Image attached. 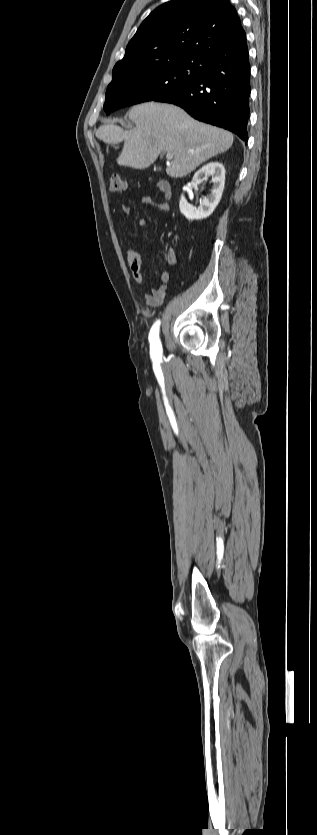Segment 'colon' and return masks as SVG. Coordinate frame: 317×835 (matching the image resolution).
Returning a JSON list of instances; mask_svg holds the SVG:
<instances>
[{
    "label": "colon",
    "instance_id": "1",
    "mask_svg": "<svg viewBox=\"0 0 317 835\" xmlns=\"http://www.w3.org/2000/svg\"><path fill=\"white\" fill-rule=\"evenodd\" d=\"M111 192H123L127 188L126 181L118 174H114L109 178L108 183Z\"/></svg>",
    "mask_w": 317,
    "mask_h": 835
}]
</instances>
